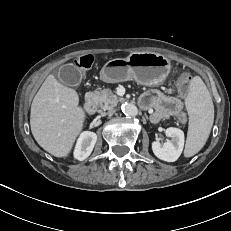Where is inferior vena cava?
Segmentation results:
<instances>
[{
	"mask_svg": "<svg viewBox=\"0 0 231 231\" xmlns=\"http://www.w3.org/2000/svg\"><path fill=\"white\" fill-rule=\"evenodd\" d=\"M114 113H115L114 109H109L107 114L108 116H112Z\"/></svg>",
	"mask_w": 231,
	"mask_h": 231,
	"instance_id": "obj_1",
	"label": "inferior vena cava"
}]
</instances>
